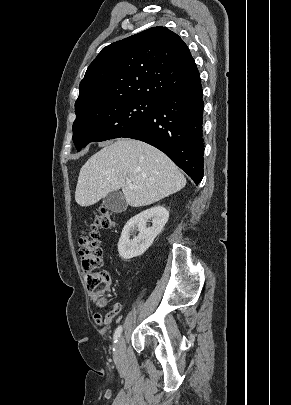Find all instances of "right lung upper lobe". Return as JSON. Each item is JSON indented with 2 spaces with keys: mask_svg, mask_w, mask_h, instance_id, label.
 Masks as SVG:
<instances>
[{
  "mask_svg": "<svg viewBox=\"0 0 291 405\" xmlns=\"http://www.w3.org/2000/svg\"><path fill=\"white\" fill-rule=\"evenodd\" d=\"M200 77L184 41L166 27H153L114 42L89 65L75 111L126 97L157 99Z\"/></svg>",
  "mask_w": 291,
  "mask_h": 405,
  "instance_id": "cb5924a9",
  "label": "right lung upper lobe"
}]
</instances>
